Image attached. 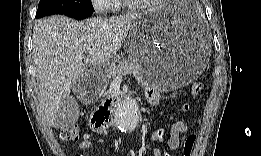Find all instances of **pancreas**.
<instances>
[{
	"instance_id": "1",
	"label": "pancreas",
	"mask_w": 261,
	"mask_h": 156,
	"mask_svg": "<svg viewBox=\"0 0 261 156\" xmlns=\"http://www.w3.org/2000/svg\"><path fill=\"white\" fill-rule=\"evenodd\" d=\"M143 72V67L137 61L128 59L118 60L116 63H112L109 66L107 72V78L112 79L117 75L133 74L135 76H140Z\"/></svg>"
}]
</instances>
